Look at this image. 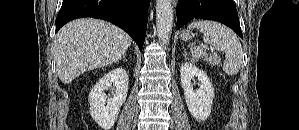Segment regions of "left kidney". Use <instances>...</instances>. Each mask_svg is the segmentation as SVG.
<instances>
[{"instance_id":"obj_1","label":"left kidney","mask_w":299,"mask_h":130,"mask_svg":"<svg viewBox=\"0 0 299 130\" xmlns=\"http://www.w3.org/2000/svg\"><path fill=\"white\" fill-rule=\"evenodd\" d=\"M197 77L200 86L194 90L191 80ZM181 85L189 112L198 121L206 120L214 99V89L207 74L190 62H185L180 68Z\"/></svg>"}]
</instances>
